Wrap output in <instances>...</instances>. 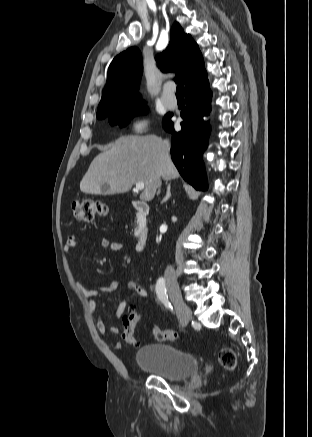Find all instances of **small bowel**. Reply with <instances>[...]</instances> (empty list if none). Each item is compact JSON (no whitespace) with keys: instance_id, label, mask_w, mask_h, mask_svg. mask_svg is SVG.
I'll return each instance as SVG.
<instances>
[{"instance_id":"obj_1","label":"small bowel","mask_w":312,"mask_h":437,"mask_svg":"<svg viewBox=\"0 0 312 437\" xmlns=\"http://www.w3.org/2000/svg\"><path fill=\"white\" fill-rule=\"evenodd\" d=\"M78 245V239L77 236L74 234H70L64 244V251L65 252H71L73 249H75ZM100 245L102 248L113 251V252H120L124 249V244L121 242H116V241H112L108 238H102L100 240ZM128 288L134 292L139 298L141 299H145L148 295L147 290L141 286L140 284H138L135 281H129L127 284ZM77 287L78 289L86 296V297H94L100 293L103 292H113L116 290L117 287V282L116 281H112V283L109 286H102V287H96V288H86L83 285H81L80 283H77ZM91 310L95 311L97 306L96 303L94 301H90L89 303ZM129 307V302L127 301H122L118 304L116 310H115V316L116 318H121L124 313L126 312V310ZM97 329L100 333L105 334L106 332H111L113 334H116L119 332V328L118 326H110L108 327L106 325V323L102 320L99 319L96 323ZM121 342L119 341H114L112 343V347L114 349H120L121 348Z\"/></svg>"}]
</instances>
